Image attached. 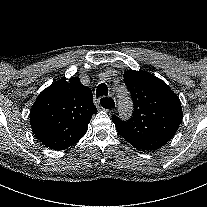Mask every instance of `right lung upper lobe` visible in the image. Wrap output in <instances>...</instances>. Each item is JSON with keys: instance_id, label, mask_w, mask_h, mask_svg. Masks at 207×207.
Listing matches in <instances>:
<instances>
[{"instance_id": "obj_1", "label": "right lung upper lobe", "mask_w": 207, "mask_h": 207, "mask_svg": "<svg viewBox=\"0 0 207 207\" xmlns=\"http://www.w3.org/2000/svg\"><path fill=\"white\" fill-rule=\"evenodd\" d=\"M97 112L92 91L78 77L60 79L44 89L30 112L32 131L46 147L63 150L81 139Z\"/></svg>"}]
</instances>
